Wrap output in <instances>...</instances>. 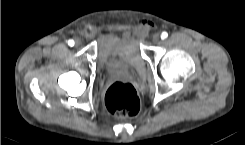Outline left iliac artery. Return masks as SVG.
I'll use <instances>...</instances> for the list:
<instances>
[{
  "mask_svg": "<svg viewBox=\"0 0 245 145\" xmlns=\"http://www.w3.org/2000/svg\"><path fill=\"white\" fill-rule=\"evenodd\" d=\"M167 36H168V33L167 32H162V34H161V38L162 39H165V38H167Z\"/></svg>",
  "mask_w": 245,
  "mask_h": 145,
  "instance_id": "obj_1",
  "label": "left iliac artery"
}]
</instances>
